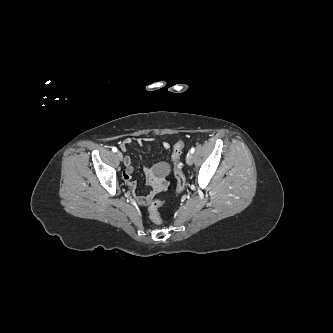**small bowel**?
I'll return each mask as SVG.
<instances>
[{
  "instance_id": "small-bowel-1",
  "label": "small bowel",
  "mask_w": 333,
  "mask_h": 333,
  "mask_svg": "<svg viewBox=\"0 0 333 333\" xmlns=\"http://www.w3.org/2000/svg\"><path fill=\"white\" fill-rule=\"evenodd\" d=\"M151 141L150 138H133L127 137L121 144V149L125 150L126 147L132 143L142 145L144 142ZM162 146L165 149H170L171 145L168 142H163ZM125 170L123 172V178L129 188L135 192L136 183L132 179V174L134 172V167L130 157H125L124 159ZM168 170V165L165 162H157L151 166L146 167L145 174L147 177V182L150 186V191L145 195L135 194L136 201L138 204L145 206L147 205L153 197L166 190L168 181L165 176H160Z\"/></svg>"
}]
</instances>
